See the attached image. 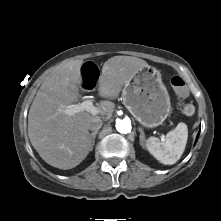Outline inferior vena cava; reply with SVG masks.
Segmentation results:
<instances>
[{"instance_id": "602c4592", "label": "inferior vena cava", "mask_w": 221, "mask_h": 221, "mask_svg": "<svg viewBox=\"0 0 221 221\" xmlns=\"http://www.w3.org/2000/svg\"><path fill=\"white\" fill-rule=\"evenodd\" d=\"M102 120L101 119H94L88 124V129L92 132H98V130L102 127Z\"/></svg>"}]
</instances>
